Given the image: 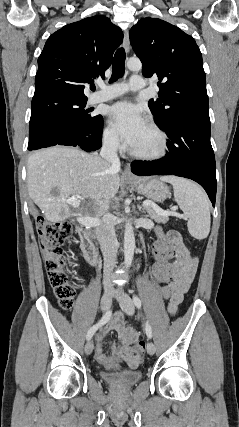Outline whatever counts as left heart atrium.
Segmentation results:
<instances>
[{
    "label": "left heart atrium",
    "mask_w": 239,
    "mask_h": 427,
    "mask_svg": "<svg viewBox=\"0 0 239 427\" xmlns=\"http://www.w3.org/2000/svg\"><path fill=\"white\" fill-rule=\"evenodd\" d=\"M109 117L112 127L129 146L147 125L142 110L128 101H120L111 106Z\"/></svg>",
    "instance_id": "obj_1"
}]
</instances>
